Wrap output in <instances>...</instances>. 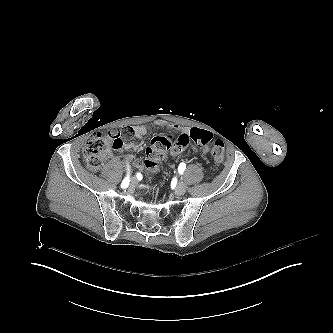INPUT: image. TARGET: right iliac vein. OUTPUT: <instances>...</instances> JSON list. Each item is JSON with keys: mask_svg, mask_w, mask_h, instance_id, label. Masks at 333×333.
<instances>
[{"mask_svg": "<svg viewBox=\"0 0 333 333\" xmlns=\"http://www.w3.org/2000/svg\"><path fill=\"white\" fill-rule=\"evenodd\" d=\"M131 181H135V178H131Z\"/></svg>", "mask_w": 333, "mask_h": 333, "instance_id": "right-iliac-vein-1", "label": "right iliac vein"}]
</instances>
